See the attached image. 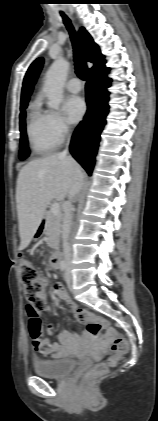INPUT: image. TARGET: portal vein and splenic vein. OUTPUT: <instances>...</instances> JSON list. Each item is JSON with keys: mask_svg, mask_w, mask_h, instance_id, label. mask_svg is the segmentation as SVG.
Here are the masks:
<instances>
[{"mask_svg": "<svg viewBox=\"0 0 158 421\" xmlns=\"http://www.w3.org/2000/svg\"><path fill=\"white\" fill-rule=\"evenodd\" d=\"M51 212H52L54 215H57V214H59V213H60V205H59V203H54V204H52V206H51Z\"/></svg>", "mask_w": 158, "mask_h": 421, "instance_id": "portal-vein-and-splenic-vein-1", "label": "portal vein and splenic vein"}]
</instances>
